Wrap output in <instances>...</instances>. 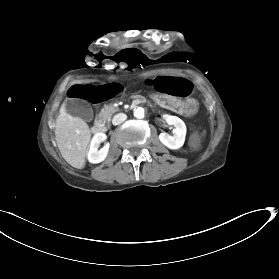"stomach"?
Instances as JSON below:
<instances>
[{"mask_svg":"<svg viewBox=\"0 0 279 279\" xmlns=\"http://www.w3.org/2000/svg\"><path fill=\"white\" fill-rule=\"evenodd\" d=\"M155 98L154 103L158 107H162L173 111L177 110L185 117H193L198 112V105L193 99L175 98L173 96L167 95L165 97L159 95H152Z\"/></svg>","mask_w":279,"mask_h":279,"instance_id":"stomach-1","label":"stomach"}]
</instances>
